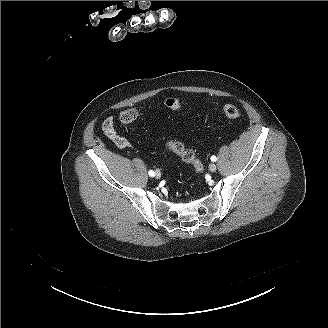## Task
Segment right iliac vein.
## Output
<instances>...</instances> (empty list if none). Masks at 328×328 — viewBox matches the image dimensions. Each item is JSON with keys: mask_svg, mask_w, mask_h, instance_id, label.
<instances>
[{"mask_svg": "<svg viewBox=\"0 0 328 328\" xmlns=\"http://www.w3.org/2000/svg\"><path fill=\"white\" fill-rule=\"evenodd\" d=\"M155 177L159 179L161 177V173L159 171H156Z\"/></svg>", "mask_w": 328, "mask_h": 328, "instance_id": "1", "label": "right iliac vein"}]
</instances>
